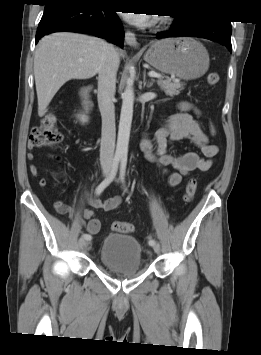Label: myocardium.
<instances>
[{
    "label": "myocardium",
    "instance_id": "myocardium-1",
    "mask_svg": "<svg viewBox=\"0 0 261 355\" xmlns=\"http://www.w3.org/2000/svg\"><path fill=\"white\" fill-rule=\"evenodd\" d=\"M166 21H167L166 18H162V19H161V22H162V23H165Z\"/></svg>",
    "mask_w": 261,
    "mask_h": 355
}]
</instances>
